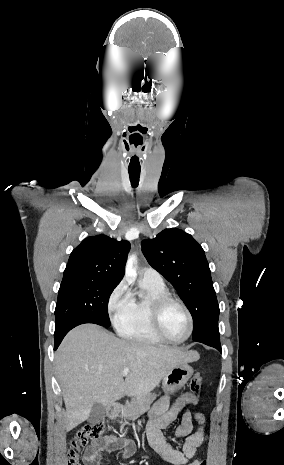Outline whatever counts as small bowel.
Returning a JSON list of instances; mask_svg holds the SVG:
<instances>
[{
  "mask_svg": "<svg viewBox=\"0 0 284 465\" xmlns=\"http://www.w3.org/2000/svg\"><path fill=\"white\" fill-rule=\"evenodd\" d=\"M196 399L189 393L182 394L172 404L170 396H162L152 407L150 419L147 424V438L149 443L173 465H207L201 459L195 457L197 448L203 443L206 433V418L198 412L187 413L183 416L181 424L174 434L177 437L186 436V440L180 450L172 448L165 440L162 429L168 427L178 416L182 408L188 403H195ZM198 423V429L192 433L193 422ZM116 448L122 450L123 458H130L135 453V445L129 439L118 440L116 436L107 437L96 449L97 454H104ZM97 455L86 457L90 465H94Z\"/></svg>",
  "mask_w": 284,
  "mask_h": 465,
  "instance_id": "c3829d8e",
  "label": "small bowel"
}]
</instances>
